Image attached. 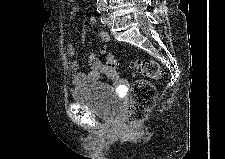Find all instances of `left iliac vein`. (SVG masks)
<instances>
[{"instance_id": "obj_1", "label": "left iliac vein", "mask_w": 225, "mask_h": 159, "mask_svg": "<svg viewBox=\"0 0 225 159\" xmlns=\"http://www.w3.org/2000/svg\"><path fill=\"white\" fill-rule=\"evenodd\" d=\"M107 26L110 28L112 26V18L109 17L108 20H107Z\"/></svg>"}]
</instances>
